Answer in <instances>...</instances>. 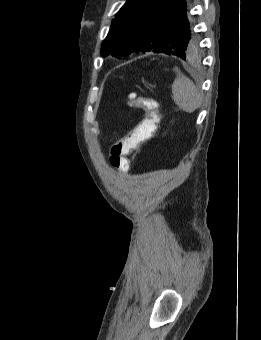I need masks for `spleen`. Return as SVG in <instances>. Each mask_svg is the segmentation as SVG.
Returning a JSON list of instances; mask_svg holds the SVG:
<instances>
[{
  "label": "spleen",
  "mask_w": 261,
  "mask_h": 340,
  "mask_svg": "<svg viewBox=\"0 0 261 340\" xmlns=\"http://www.w3.org/2000/svg\"><path fill=\"white\" fill-rule=\"evenodd\" d=\"M174 103L187 113H193L202 105L203 97L192 80L183 74L177 75L172 84Z\"/></svg>",
  "instance_id": "obj_1"
}]
</instances>
